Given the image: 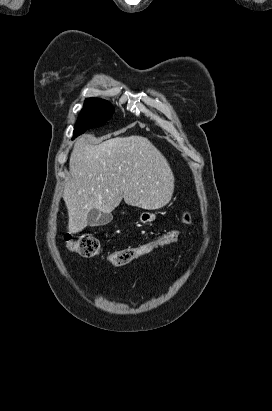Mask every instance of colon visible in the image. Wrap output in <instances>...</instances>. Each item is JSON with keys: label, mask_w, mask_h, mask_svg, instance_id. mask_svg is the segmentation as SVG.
Listing matches in <instances>:
<instances>
[{"label": "colon", "mask_w": 272, "mask_h": 411, "mask_svg": "<svg viewBox=\"0 0 272 411\" xmlns=\"http://www.w3.org/2000/svg\"><path fill=\"white\" fill-rule=\"evenodd\" d=\"M190 220V214L186 213L183 217V224H188ZM178 237L179 230H172L153 241L110 253L107 256V260L114 266H124L134 259L150 253L155 248L175 243ZM64 240L72 252L82 257L92 258L101 254V243L93 235L85 234L78 238H73L70 234H66Z\"/></svg>", "instance_id": "obj_1"}]
</instances>
